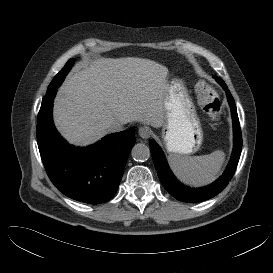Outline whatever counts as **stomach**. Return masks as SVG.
<instances>
[{"label": "stomach", "mask_w": 273, "mask_h": 273, "mask_svg": "<svg viewBox=\"0 0 273 273\" xmlns=\"http://www.w3.org/2000/svg\"><path fill=\"white\" fill-rule=\"evenodd\" d=\"M163 104L165 121L162 135L167 151L178 155L197 151L203 141V131L182 79L167 81Z\"/></svg>", "instance_id": "0dacf381"}]
</instances>
